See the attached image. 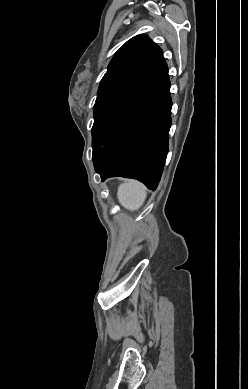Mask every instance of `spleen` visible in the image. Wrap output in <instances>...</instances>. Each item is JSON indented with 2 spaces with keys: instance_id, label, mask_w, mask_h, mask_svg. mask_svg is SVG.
Masks as SVG:
<instances>
[{
  "instance_id": "obj_1",
  "label": "spleen",
  "mask_w": 248,
  "mask_h": 389,
  "mask_svg": "<svg viewBox=\"0 0 248 389\" xmlns=\"http://www.w3.org/2000/svg\"><path fill=\"white\" fill-rule=\"evenodd\" d=\"M146 197L147 189L138 181L127 180L118 187V201L128 210H138L143 205Z\"/></svg>"
}]
</instances>
